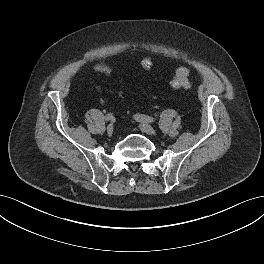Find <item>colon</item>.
Wrapping results in <instances>:
<instances>
[{
    "label": "colon",
    "mask_w": 264,
    "mask_h": 264,
    "mask_svg": "<svg viewBox=\"0 0 264 264\" xmlns=\"http://www.w3.org/2000/svg\"><path fill=\"white\" fill-rule=\"evenodd\" d=\"M140 65L144 70H149L152 67L151 58H142ZM96 70L105 74L111 72V68L105 63L98 64ZM188 77L189 70L185 67H180L176 70L174 77L169 81V85L174 89H189L191 84Z\"/></svg>",
    "instance_id": "1"
}]
</instances>
